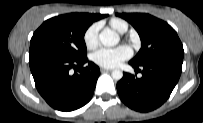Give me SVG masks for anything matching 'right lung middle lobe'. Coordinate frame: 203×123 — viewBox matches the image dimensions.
Masks as SVG:
<instances>
[{"mask_svg": "<svg viewBox=\"0 0 203 123\" xmlns=\"http://www.w3.org/2000/svg\"><path fill=\"white\" fill-rule=\"evenodd\" d=\"M91 24L83 13L48 19L33 34L29 53H51L72 60L84 58L87 49L83 37Z\"/></svg>", "mask_w": 203, "mask_h": 123, "instance_id": "dd1d6c3e", "label": "right lung middle lobe"}]
</instances>
